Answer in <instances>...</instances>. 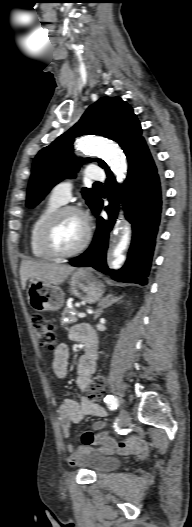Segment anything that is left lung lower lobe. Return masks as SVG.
<instances>
[{
  "label": "left lung lower lobe",
  "mask_w": 192,
  "mask_h": 527,
  "mask_svg": "<svg viewBox=\"0 0 192 527\" xmlns=\"http://www.w3.org/2000/svg\"><path fill=\"white\" fill-rule=\"evenodd\" d=\"M106 188L109 205L105 207L109 219L97 218V231L90 247L80 256L70 260L76 267L91 266L120 282L147 284V276L155 246L161 214L160 174L145 141L139 143L128 156V175L119 191L112 172H107ZM123 199L125 217L132 224L133 239L128 259L120 270H110L106 265L109 232L118 214V200ZM103 206L100 199L95 210L99 215Z\"/></svg>",
  "instance_id": "1"
}]
</instances>
